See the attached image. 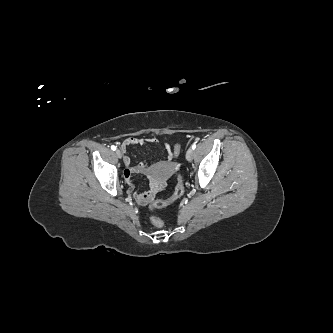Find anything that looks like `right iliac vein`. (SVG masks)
Instances as JSON below:
<instances>
[{"label": "right iliac vein", "mask_w": 333, "mask_h": 333, "mask_svg": "<svg viewBox=\"0 0 333 333\" xmlns=\"http://www.w3.org/2000/svg\"><path fill=\"white\" fill-rule=\"evenodd\" d=\"M115 154H116V156H117L118 158H121V157H122V153H121V151H120L119 149H117V150L115 151Z\"/></svg>", "instance_id": "right-iliac-vein-1"}]
</instances>
